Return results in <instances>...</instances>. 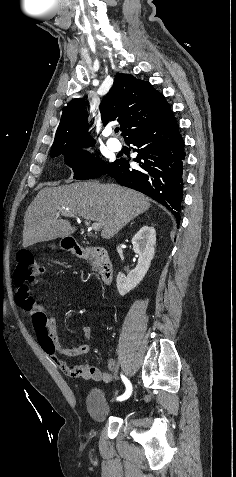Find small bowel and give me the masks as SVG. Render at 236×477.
Instances as JSON below:
<instances>
[{
    "label": "small bowel",
    "instance_id": "c3829d8e",
    "mask_svg": "<svg viewBox=\"0 0 236 477\" xmlns=\"http://www.w3.org/2000/svg\"><path fill=\"white\" fill-rule=\"evenodd\" d=\"M29 313L31 317L32 328L38 339V342L47 355V357L66 375L78 379H90L93 381H102L108 383L112 380L113 362L108 356V366L104 371L98 367L92 366L87 362L81 365H73L65 358H75L87 355L90 352L89 344H82L76 348L64 346L57 335L55 317L53 313L47 311L41 304L36 302L33 297L27 300L26 307L22 308ZM81 332L86 340L92 337V329L89 326H82Z\"/></svg>",
    "mask_w": 236,
    "mask_h": 477
}]
</instances>
